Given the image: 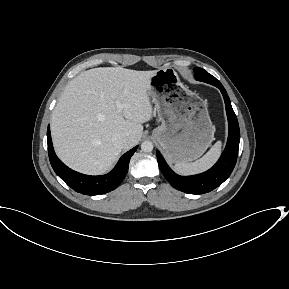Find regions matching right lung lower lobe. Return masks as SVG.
I'll list each match as a JSON object with an SVG mask.
<instances>
[{"instance_id":"obj_1","label":"right lung lower lobe","mask_w":289,"mask_h":289,"mask_svg":"<svg viewBox=\"0 0 289 289\" xmlns=\"http://www.w3.org/2000/svg\"><path fill=\"white\" fill-rule=\"evenodd\" d=\"M47 141L49 160L55 173L73 190L85 195H100L118 187L125 178L130 158L138 147L125 153L110 173L103 176H88L71 170L58 159L52 145L50 126L47 129Z\"/></svg>"}]
</instances>
